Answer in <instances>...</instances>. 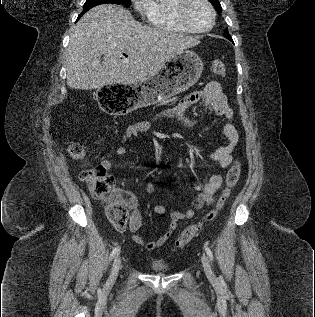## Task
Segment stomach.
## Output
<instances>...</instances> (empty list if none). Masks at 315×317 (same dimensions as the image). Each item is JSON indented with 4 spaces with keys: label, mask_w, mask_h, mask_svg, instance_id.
Returning a JSON list of instances; mask_svg holds the SVG:
<instances>
[{
    "label": "stomach",
    "mask_w": 315,
    "mask_h": 317,
    "mask_svg": "<svg viewBox=\"0 0 315 317\" xmlns=\"http://www.w3.org/2000/svg\"><path fill=\"white\" fill-rule=\"evenodd\" d=\"M203 71L201 58L184 50L166 61L154 76L134 84H103L99 104L109 114H132V110L154 105L193 86Z\"/></svg>",
    "instance_id": "obj_1"
}]
</instances>
